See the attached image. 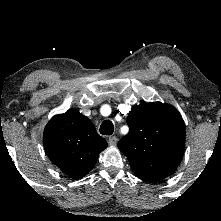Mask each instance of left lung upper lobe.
Listing matches in <instances>:
<instances>
[{
    "label": "left lung upper lobe",
    "instance_id": "left-lung-upper-lobe-1",
    "mask_svg": "<svg viewBox=\"0 0 221 221\" xmlns=\"http://www.w3.org/2000/svg\"><path fill=\"white\" fill-rule=\"evenodd\" d=\"M129 133L119 142L135 175L156 182L173 174L181 162L185 127L176 108L161 102L138 105L127 117Z\"/></svg>",
    "mask_w": 221,
    "mask_h": 221
}]
</instances>
